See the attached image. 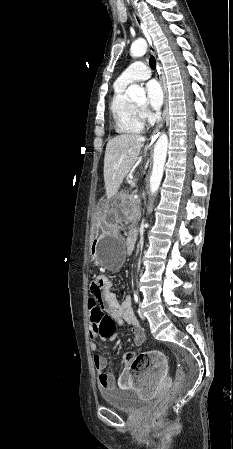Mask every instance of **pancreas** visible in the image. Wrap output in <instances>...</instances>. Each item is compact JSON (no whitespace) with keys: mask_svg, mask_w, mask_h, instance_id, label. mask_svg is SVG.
I'll list each match as a JSON object with an SVG mask.
<instances>
[{"mask_svg":"<svg viewBox=\"0 0 233 449\" xmlns=\"http://www.w3.org/2000/svg\"><path fill=\"white\" fill-rule=\"evenodd\" d=\"M123 197H124L125 199H128V200L132 203L131 206H133V208H134V209H133V210H134V216H135V218H139L141 212H140V207H139V205H138V203H137V200L134 199V197H133L132 194H131V195L125 194V195H123Z\"/></svg>","mask_w":233,"mask_h":449,"instance_id":"obj_1","label":"pancreas"}]
</instances>
